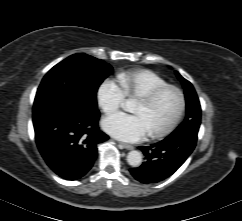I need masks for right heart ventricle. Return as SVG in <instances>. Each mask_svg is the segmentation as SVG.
I'll return each mask as SVG.
<instances>
[{
	"label": "right heart ventricle",
	"mask_w": 242,
	"mask_h": 221,
	"mask_svg": "<svg viewBox=\"0 0 242 221\" xmlns=\"http://www.w3.org/2000/svg\"><path fill=\"white\" fill-rule=\"evenodd\" d=\"M117 80L129 98H139L156 88L167 85L164 78L148 69L120 72L117 75Z\"/></svg>",
	"instance_id": "obj_1"
}]
</instances>
